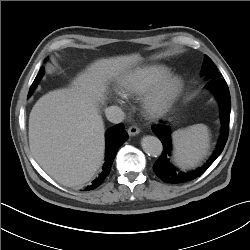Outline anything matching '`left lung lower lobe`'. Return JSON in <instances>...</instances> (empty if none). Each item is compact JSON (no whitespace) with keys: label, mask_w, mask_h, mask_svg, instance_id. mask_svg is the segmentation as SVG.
I'll return each instance as SVG.
<instances>
[{"label":"left lung lower lobe","mask_w":250,"mask_h":250,"mask_svg":"<svg viewBox=\"0 0 250 250\" xmlns=\"http://www.w3.org/2000/svg\"><path fill=\"white\" fill-rule=\"evenodd\" d=\"M208 87L216 96L220 104V115L222 122V132L217 143V147L213 155L201 168H198L191 172H180V170L174 167L170 162L172 143L170 136V128L167 125H156L152 127L153 132L161 140L163 144V151L158 160L153 165V171L155 174L167 183H182L193 180L202 175L214 160L221 154L224 146L227 142L229 133V119L231 110L230 93L225 80L217 78L211 79L207 83Z\"/></svg>","instance_id":"1"}]
</instances>
